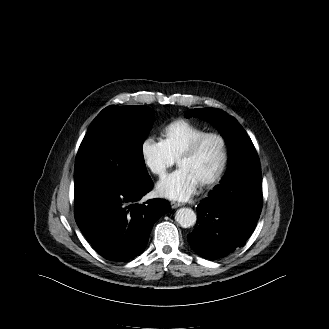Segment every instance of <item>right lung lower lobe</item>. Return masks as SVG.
<instances>
[{
    "mask_svg": "<svg viewBox=\"0 0 329 329\" xmlns=\"http://www.w3.org/2000/svg\"><path fill=\"white\" fill-rule=\"evenodd\" d=\"M153 187L93 180L75 188V219L93 248L104 258L123 262L141 254L154 223L171 209L168 201L136 203Z\"/></svg>",
    "mask_w": 329,
    "mask_h": 329,
    "instance_id": "right-lung-lower-lobe-1",
    "label": "right lung lower lobe"
}]
</instances>
